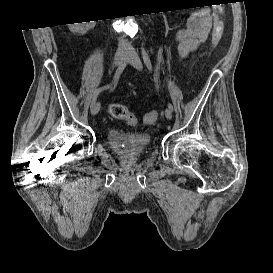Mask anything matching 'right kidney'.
Returning <instances> with one entry per match:
<instances>
[{
    "mask_svg": "<svg viewBox=\"0 0 273 273\" xmlns=\"http://www.w3.org/2000/svg\"><path fill=\"white\" fill-rule=\"evenodd\" d=\"M82 24H86V22H82ZM82 24L76 23L75 26L70 27L71 31L85 34L89 29H92L95 26V21H90V23H87L86 25Z\"/></svg>",
    "mask_w": 273,
    "mask_h": 273,
    "instance_id": "ca27d5eb",
    "label": "right kidney"
}]
</instances>
